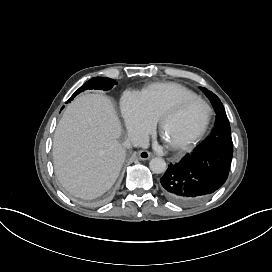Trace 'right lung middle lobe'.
I'll list each match as a JSON object with an SVG mask.
<instances>
[{
	"label": "right lung middle lobe",
	"instance_id": "right-lung-middle-lobe-1",
	"mask_svg": "<svg viewBox=\"0 0 272 272\" xmlns=\"http://www.w3.org/2000/svg\"><path fill=\"white\" fill-rule=\"evenodd\" d=\"M117 84V82L113 79L106 77H95L87 81L82 87H80L67 101V103L79 94L80 92L86 89H101V90H110L113 85Z\"/></svg>",
	"mask_w": 272,
	"mask_h": 272
}]
</instances>
